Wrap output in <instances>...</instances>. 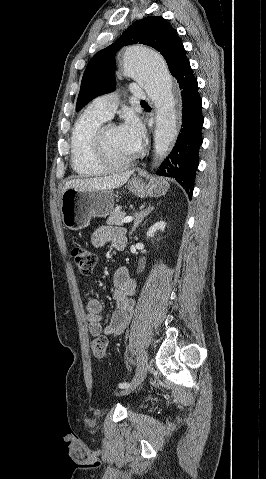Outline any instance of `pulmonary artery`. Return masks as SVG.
<instances>
[{
    "label": "pulmonary artery",
    "instance_id": "1",
    "mask_svg": "<svg viewBox=\"0 0 266 479\" xmlns=\"http://www.w3.org/2000/svg\"><path fill=\"white\" fill-rule=\"evenodd\" d=\"M130 89L134 98L150 100V95L143 87L133 83L130 85ZM118 104L119 97L117 93H109L94 99L88 106V109L107 120L112 118Z\"/></svg>",
    "mask_w": 266,
    "mask_h": 479
}]
</instances>
